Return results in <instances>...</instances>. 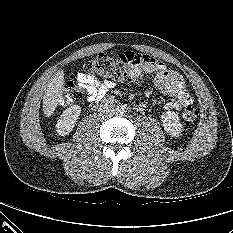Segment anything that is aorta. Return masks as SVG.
<instances>
[{
    "label": "aorta",
    "instance_id": "obj_1",
    "mask_svg": "<svg viewBox=\"0 0 233 233\" xmlns=\"http://www.w3.org/2000/svg\"><path fill=\"white\" fill-rule=\"evenodd\" d=\"M126 113V107L124 105H118L116 107V114L123 116Z\"/></svg>",
    "mask_w": 233,
    "mask_h": 233
}]
</instances>
